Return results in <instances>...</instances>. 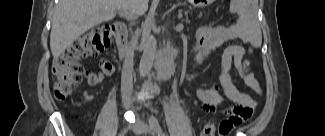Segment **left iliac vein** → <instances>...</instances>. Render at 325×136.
<instances>
[{"instance_id": "4c4485c4", "label": "left iliac vein", "mask_w": 325, "mask_h": 136, "mask_svg": "<svg viewBox=\"0 0 325 136\" xmlns=\"http://www.w3.org/2000/svg\"><path fill=\"white\" fill-rule=\"evenodd\" d=\"M133 130L138 133H143V134H155L157 133L156 130L144 123L143 121H139L133 125Z\"/></svg>"}]
</instances>
